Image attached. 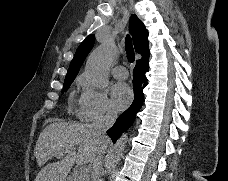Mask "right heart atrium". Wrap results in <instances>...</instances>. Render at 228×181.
<instances>
[{"mask_svg": "<svg viewBox=\"0 0 228 181\" xmlns=\"http://www.w3.org/2000/svg\"><path fill=\"white\" fill-rule=\"evenodd\" d=\"M91 83H94L91 78ZM113 113V105L103 89L88 87L80 99L79 117L84 121H96Z\"/></svg>", "mask_w": 228, "mask_h": 181, "instance_id": "1", "label": "right heart atrium"}]
</instances>
